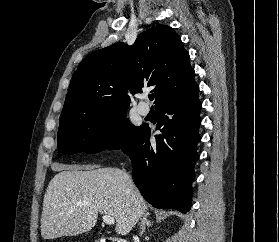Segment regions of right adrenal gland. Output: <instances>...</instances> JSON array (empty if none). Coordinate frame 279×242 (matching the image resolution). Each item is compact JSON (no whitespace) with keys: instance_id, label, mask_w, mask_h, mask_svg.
Here are the masks:
<instances>
[{"instance_id":"right-adrenal-gland-1","label":"right adrenal gland","mask_w":279,"mask_h":242,"mask_svg":"<svg viewBox=\"0 0 279 242\" xmlns=\"http://www.w3.org/2000/svg\"><path fill=\"white\" fill-rule=\"evenodd\" d=\"M148 216H149V213H145L143 215V217L141 218L140 232H139L140 236L144 233L146 226L149 227V226L153 225V222L148 219Z\"/></svg>"}]
</instances>
